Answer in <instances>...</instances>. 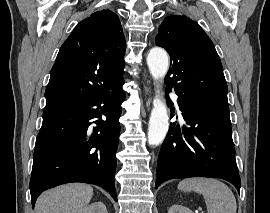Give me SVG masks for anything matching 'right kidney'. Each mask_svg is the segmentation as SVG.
<instances>
[{"mask_svg":"<svg viewBox=\"0 0 270 213\" xmlns=\"http://www.w3.org/2000/svg\"><path fill=\"white\" fill-rule=\"evenodd\" d=\"M78 213H108V212L106 206L102 202H95L84 207Z\"/></svg>","mask_w":270,"mask_h":213,"instance_id":"ca27d5eb","label":"right kidney"}]
</instances>
